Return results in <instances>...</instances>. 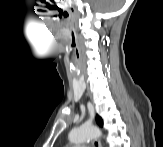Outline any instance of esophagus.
Here are the masks:
<instances>
[{
    "mask_svg": "<svg viewBox=\"0 0 163 147\" xmlns=\"http://www.w3.org/2000/svg\"><path fill=\"white\" fill-rule=\"evenodd\" d=\"M93 147H101V142L98 139L92 141Z\"/></svg>",
    "mask_w": 163,
    "mask_h": 147,
    "instance_id": "esophagus-1",
    "label": "esophagus"
}]
</instances>
